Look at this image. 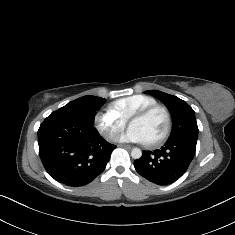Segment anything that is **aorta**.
I'll use <instances>...</instances> for the list:
<instances>
[{
	"label": "aorta",
	"instance_id": "1",
	"mask_svg": "<svg viewBox=\"0 0 235 235\" xmlns=\"http://www.w3.org/2000/svg\"><path fill=\"white\" fill-rule=\"evenodd\" d=\"M131 156L134 159H139L142 156V150L139 148H133L131 151Z\"/></svg>",
	"mask_w": 235,
	"mask_h": 235
}]
</instances>
